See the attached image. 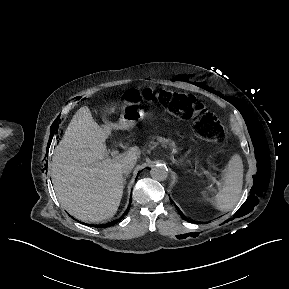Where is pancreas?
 I'll list each match as a JSON object with an SVG mask.
<instances>
[{
  "label": "pancreas",
  "instance_id": "1",
  "mask_svg": "<svg viewBox=\"0 0 289 289\" xmlns=\"http://www.w3.org/2000/svg\"><path fill=\"white\" fill-rule=\"evenodd\" d=\"M157 143L161 144L163 147H169L170 149H176V144L175 142L165 139L162 137H157ZM154 143V142H153Z\"/></svg>",
  "mask_w": 289,
  "mask_h": 289
}]
</instances>
